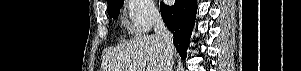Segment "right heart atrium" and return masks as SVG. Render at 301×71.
Instances as JSON below:
<instances>
[{"mask_svg":"<svg viewBox=\"0 0 301 71\" xmlns=\"http://www.w3.org/2000/svg\"><path fill=\"white\" fill-rule=\"evenodd\" d=\"M127 26L136 35L150 31L158 19L157 10L151 0H127Z\"/></svg>","mask_w":301,"mask_h":71,"instance_id":"obj_1","label":"right heart atrium"}]
</instances>
